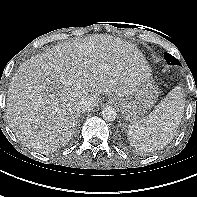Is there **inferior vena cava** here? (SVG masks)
Here are the masks:
<instances>
[{
    "label": "inferior vena cava",
    "instance_id": "602c4592",
    "mask_svg": "<svg viewBox=\"0 0 197 197\" xmlns=\"http://www.w3.org/2000/svg\"><path fill=\"white\" fill-rule=\"evenodd\" d=\"M94 100L91 98H82L78 103V109L80 112H85L87 110H90L92 107H94Z\"/></svg>",
    "mask_w": 197,
    "mask_h": 197
}]
</instances>
